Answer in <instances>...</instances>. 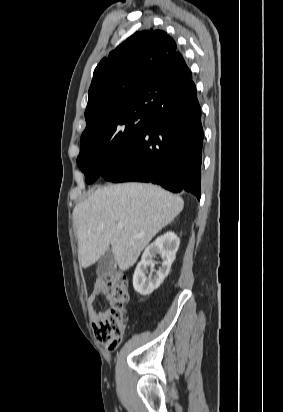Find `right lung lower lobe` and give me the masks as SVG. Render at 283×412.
I'll return each instance as SVG.
<instances>
[{"instance_id": "right-lung-lower-lobe-1", "label": "right lung lower lobe", "mask_w": 283, "mask_h": 412, "mask_svg": "<svg viewBox=\"0 0 283 412\" xmlns=\"http://www.w3.org/2000/svg\"><path fill=\"white\" fill-rule=\"evenodd\" d=\"M202 145L201 108L189 79L150 116L128 152L100 176L112 182H152L200 199Z\"/></svg>"}]
</instances>
